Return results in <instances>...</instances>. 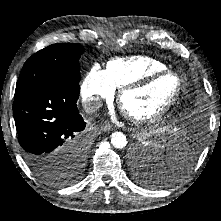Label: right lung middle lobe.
<instances>
[{
    "instance_id": "dd1d6c3e",
    "label": "right lung middle lobe",
    "mask_w": 221,
    "mask_h": 221,
    "mask_svg": "<svg viewBox=\"0 0 221 221\" xmlns=\"http://www.w3.org/2000/svg\"><path fill=\"white\" fill-rule=\"evenodd\" d=\"M84 48L77 43H57L50 45L34 55L24 64L16 84L14 98L42 85L59 84L79 87V59ZM89 149V142L81 148L74 162L69 166L72 172H61L53 167L35 172L48 184L67 185L73 183L80 175Z\"/></svg>"
}]
</instances>
